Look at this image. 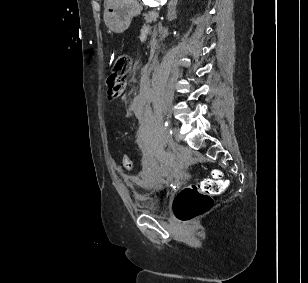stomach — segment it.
Listing matches in <instances>:
<instances>
[{"label":"stomach","mask_w":308,"mask_h":283,"mask_svg":"<svg viewBox=\"0 0 308 283\" xmlns=\"http://www.w3.org/2000/svg\"><path fill=\"white\" fill-rule=\"evenodd\" d=\"M141 10L142 6L138 0H116L106 7L104 22L111 32L122 33L128 29L132 18L139 15Z\"/></svg>","instance_id":"stomach-1"}]
</instances>
